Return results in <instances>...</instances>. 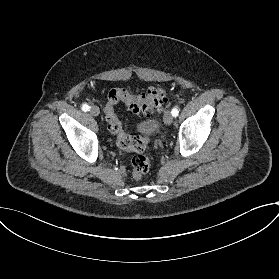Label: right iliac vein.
Masks as SVG:
<instances>
[{"label":"right iliac vein","instance_id":"1","mask_svg":"<svg viewBox=\"0 0 279 279\" xmlns=\"http://www.w3.org/2000/svg\"><path fill=\"white\" fill-rule=\"evenodd\" d=\"M99 113H100V110H99V108L97 106H92L91 107L90 114L92 116H97V115H99Z\"/></svg>","mask_w":279,"mask_h":279}]
</instances>
